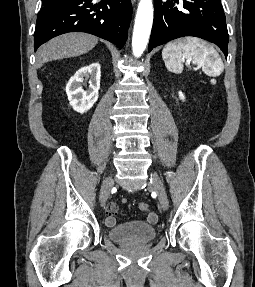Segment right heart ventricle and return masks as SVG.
<instances>
[{
    "label": "right heart ventricle",
    "instance_id": "e07e8e85",
    "mask_svg": "<svg viewBox=\"0 0 255 287\" xmlns=\"http://www.w3.org/2000/svg\"><path fill=\"white\" fill-rule=\"evenodd\" d=\"M102 48H121V47H102Z\"/></svg>",
    "mask_w": 255,
    "mask_h": 287
}]
</instances>
